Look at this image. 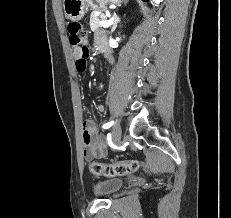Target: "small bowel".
<instances>
[{
  "instance_id": "c3829d8e",
  "label": "small bowel",
  "mask_w": 231,
  "mask_h": 218,
  "mask_svg": "<svg viewBox=\"0 0 231 218\" xmlns=\"http://www.w3.org/2000/svg\"><path fill=\"white\" fill-rule=\"evenodd\" d=\"M96 43L101 50L107 49L106 44L103 40L101 34H96ZM74 57L76 58V70L79 73L85 72L88 64L89 57L82 56L81 51L79 49H74L73 51ZM104 106L99 105L97 110L99 112L104 111ZM83 145H84V156L88 159H96V158H103L107 155V145L103 139V137L99 134H95L94 125L91 122H87L83 126Z\"/></svg>"
}]
</instances>
